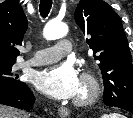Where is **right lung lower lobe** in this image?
<instances>
[{"label":"right lung lower lobe","instance_id":"right-lung-lower-lobe-1","mask_svg":"<svg viewBox=\"0 0 133 118\" xmlns=\"http://www.w3.org/2000/svg\"><path fill=\"white\" fill-rule=\"evenodd\" d=\"M34 101L35 97L25 83L14 87L0 88V104L19 109H30Z\"/></svg>","mask_w":133,"mask_h":118}]
</instances>
